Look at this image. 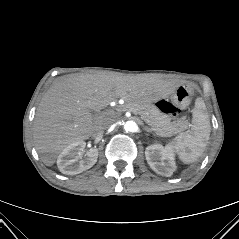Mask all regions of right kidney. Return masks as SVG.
Instances as JSON below:
<instances>
[{
  "mask_svg": "<svg viewBox=\"0 0 239 239\" xmlns=\"http://www.w3.org/2000/svg\"><path fill=\"white\" fill-rule=\"evenodd\" d=\"M85 146L86 143L84 141H77L67 146L59 154L57 166L63 174H79L87 169H90L97 162V149H90L87 151L83 159L80 157V153L84 150Z\"/></svg>",
  "mask_w": 239,
  "mask_h": 239,
  "instance_id": "right-kidney-1",
  "label": "right kidney"
}]
</instances>
